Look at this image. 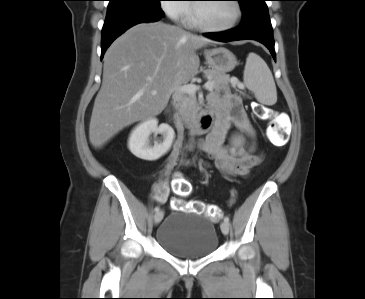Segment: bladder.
<instances>
[{"label": "bladder", "mask_w": 365, "mask_h": 299, "mask_svg": "<svg viewBox=\"0 0 365 299\" xmlns=\"http://www.w3.org/2000/svg\"><path fill=\"white\" fill-rule=\"evenodd\" d=\"M156 241L165 251L183 259L207 257L219 245L212 220L183 210H175L161 223Z\"/></svg>", "instance_id": "31cf9c89"}]
</instances>
